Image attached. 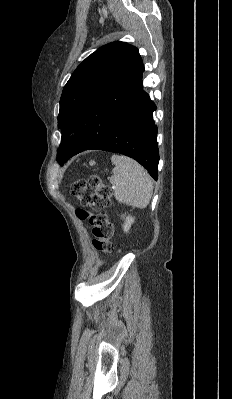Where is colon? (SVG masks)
<instances>
[{
	"mask_svg": "<svg viewBox=\"0 0 232 399\" xmlns=\"http://www.w3.org/2000/svg\"><path fill=\"white\" fill-rule=\"evenodd\" d=\"M95 163H85V168H95ZM86 181H74L72 194L81 198L82 208L77 214L82 222H87L89 230H92L91 243H94L97 251H102V256H110L114 253V240L117 237V226L107 221V205H111V180L97 175H84ZM94 214V217H89ZM111 257H101V262H111Z\"/></svg>",
	"mask_w": 232,
	"mask_h": 399,
	"instance_id": "5ec220e1",
	"label": "colon"
}]
</instances>
